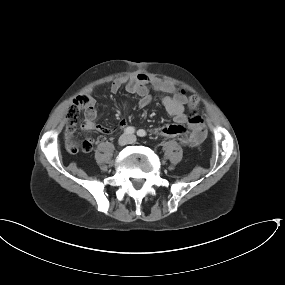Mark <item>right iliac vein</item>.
Here are the masks:
<instances>
[{
    "label": "right iliac vein",
    "instance_id": "1",
    "mask_svg": "<svg viewBox=\"0 0 285 285\" xmlns=\"http://www.w3.org/2000/svg\"><path fill=\"white\" fill-rule=\"evenodd\" d=\"M129 141L130 137L128 135H122L118 140V144L119 146H125Z\"/></svg>",
    "mask_w": 285,
    "mask_h": 285
}]
</instances>
